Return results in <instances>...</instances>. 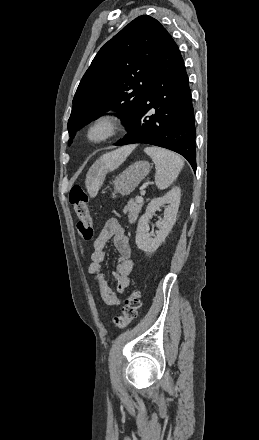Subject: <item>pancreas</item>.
<instances>
[{"label": "pancreas", "mask_w": 259, "mask_h": 440, "mask_svg": "<svg viewBox=\"0 0 259 440\" xmlns=\"http://www.w3.org/2000/svg\"><path fill=\"white\" fill-rule=\"evenodd\" d=\"M144 202H139L137 200H131L129 203L124 207L123 212L127 214V217L130 221H133L138 216Z\"/></svg>", "instance_id": "obj_1"}]
</instances>
